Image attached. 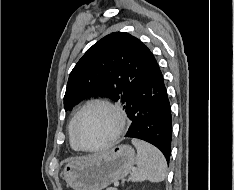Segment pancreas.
Segmentation results:
<instances>
[{
  "instance_id": "obj_1",
  "label": "pancreas",
  "mask_w": 234,
  "mask_h": 190,
  "mask_svg": "<svg viewBox=\"0 0 234 190\" xmlns=\"http://www.w3.org/2000/svg\"><path fill=\"white\" fill-rule=\"evenodd\" d=\"M107 190H117L116 188H107Z\"/></svg>"
}]
</instances>
